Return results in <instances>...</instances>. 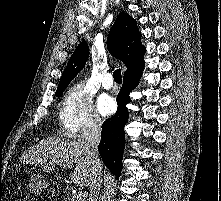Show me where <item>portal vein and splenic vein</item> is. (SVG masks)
I'll return each mask as SVG.
<instances>
[{
  "label": "portal vein and splenic vein",
  "mask_w": 221,
  "mask_h": 201,
  "mask_svg": "<svg viewBox=\"0 0 221 201\" xmlns=\"http://www.w3.org/2000/svg\"><path fill=\"white\" fill-rule=\"evenodd\" d=\"M83 197V192L78 191L76 194L72 196V201H81Z\"/></svg>",
  "instance_id": "obj_1"
}]
</instances>
